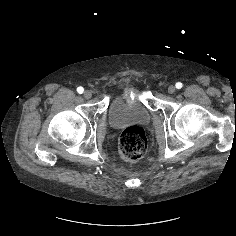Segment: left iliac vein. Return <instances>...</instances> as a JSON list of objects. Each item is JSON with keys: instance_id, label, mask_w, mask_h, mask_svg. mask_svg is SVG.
Returning a JSON list of instances; mask_svg holds the SVG:
<instances>
[{"instance_id": "1", "label": "left iliac vein", "mask_w": 236, "mask_h": 236, "mask_svg": "<svg viewBox=\"0 0 236 236\" xmlns=\"http://www.w3.org/2000/svg\"><path fill=\"white\" fill-rule=\"evenodd\" d=\"M175 91H176V87H175L174 85H170V86L168 87V93H169V94H174Z\"/></svg>"}]
</instances>
